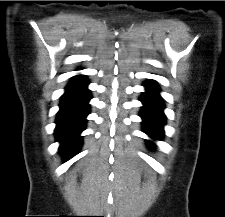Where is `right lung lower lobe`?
<instances>
[{
  "label": "right lung lower lobe",
  "instance_id": "98d812e1",
  "mask_svg": "<svg viewBox=\"0 0 225 217\" xmlns=\"http://www.w3.org/2000/svg\"><path fill=\"white\" fill-rule=\"evenodd\" d=\"M85 77L72 78L60 100L56 118L55 136L61 143L60 153L65 159L73 157L82 145L80 133L85 129L90 112L91 93Z\"/></svg>",
  "mask_w": 225,
  "mask_h": 217
}]
</instances>
